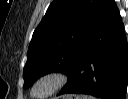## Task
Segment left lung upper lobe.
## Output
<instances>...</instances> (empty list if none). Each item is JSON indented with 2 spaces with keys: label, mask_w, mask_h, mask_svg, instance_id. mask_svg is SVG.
Segmentation results:
<instances>
[{
  "label": "left lung upper lobe",
  "mask_w": 128,
  "mask_h": 99,
  "mask_svg": "<svg viewBox=\"0 0 128 99\" xmlns=\"http://www.w3.org/2000/svg\"><path fill=\"white\" fill-rule=\"evenodd\" d=\"M109 0H54L35 29L25 64L24 88L51 72L66 73L85 47Z\"/></svg>",
  "instance_id": "1"
}]
</instances>
